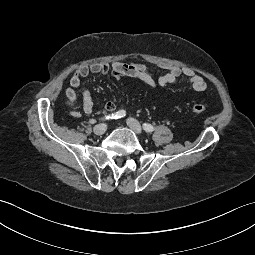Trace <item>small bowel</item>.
I'll use <instances>...</instances> for the list:
<instances>
[{
	"label": "small bowel",
	"mask_w": 255,
	"mask_h": 255,
	"mask_svg": "<svg viewBox=\"0 0 255 255\" xmlns=\"http://www.w3.org/2000/svg\"><path fill=\"white\" fill-rule=\"evenodd\" d=\"M159 68L166 70L163 75H157L153 69L141 63H123L120 61H113L110 64L103 62H96L89 65L80 67L71 76L69 87L66 89V97L69 101L76 100L75 89L79 88L82 80L90 75L110 74L114 77H132L137 78L152 88L167 87L176 83L181 79L186 82L196 91H204L207 88V83L204 78L190 69H181L176 66L158 65ZM125 88H127L125 86ZM83 107L82 110L85 114H90L93 111V98L89 89L82 92ZM116 105L112 101L105 104V110L108 112L114 111ZM79 116L78 112L74 113Z\"/></svg>",
	"instance_id": "1"
}]
</instances>
